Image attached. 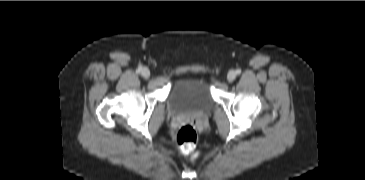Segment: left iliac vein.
<instances>
[{
  "mask_svg": "<svg viewBox=\"0 0 365 180\" xmlns=\"http://www.w3.org/2000/svg\"><path fill=\"white\" fill-rule=\"evenodd\" d=\"M236 72L234 71V70H230L229 72H228V74H227V80L229 81V82H232V81H234L235 80V78H236Z\"/></svg>",
  "mask_w": 365,
  "mask_h": 180,
  "instance_id": "obj_1",
  "label": "left iliac vein"
}]
</instances>
